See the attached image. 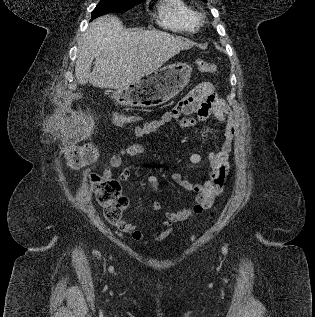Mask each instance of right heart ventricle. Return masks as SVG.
Here are the masks:
<instances>
[{
    "label": "right heart ventricle",
    "instance_id": "obj_1",
    "mask_svg": "<svg viewBox=\"0 0 315 317\" xmlns=\"http://www.w3.org/2000/svg\"><path fill=\"white\" fill-rule=\"evenodd\" d=\"M158 23L178 32H195L198 29L197 13L186 0H160Z\"/></svg>",
    "mask_w": 315,
    "mask_h": 317
}]
</instances>
